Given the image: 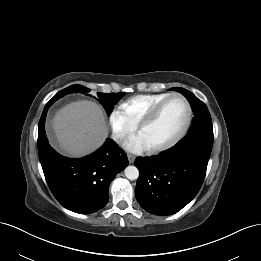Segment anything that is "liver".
Listing matches in <instances>:
<instances>
[{"mask_svg": "<svg viewBox=\"0 0 261 261\" xmlns=\"http://www.w3.org/2000/svg\"><path fill=\"white\" fill-rule=\"evenodd\" d=\"M60 147L73 157H81L99 148L108 136L105 117L99 105L82 100L61 108L53 119Z\"/></svg>", "mask_w": 261, "mask_h": 261, "instance_id": "1", "label": "liver"}]
</instances>
